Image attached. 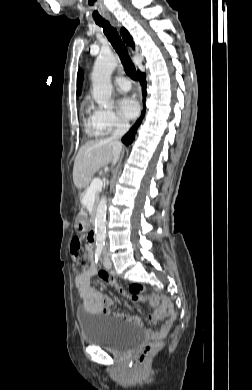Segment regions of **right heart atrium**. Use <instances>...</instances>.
<instances>
[{
  "label": "right heart atrium",
  "mask_w": 252,
  "mask_h": 390,
  "mask_svg": "<svg viewBox=\"0 0 252 390\" xmlns=\"http://www.w3.org/2000/svg\"><path fill=\"white\" fill-rule=\"evenodd\" d=\"M95 134L107 136L121 132L128 127L127 122L114 110L98 107L91 116Z\"/></svg>",
  "instance_id": "obj_1"
}]
</instances>
